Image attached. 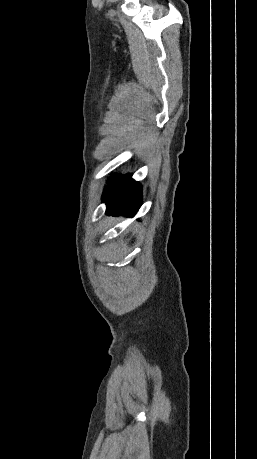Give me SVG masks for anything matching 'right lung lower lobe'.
I'll return each mask as SVG.
<instances>
[{
	"instance_id": "obj_1",
	"label": "right lung lower lobe",
	"mask_w": 257,
	"mask_h": 459,
	"mask_svg": "<svg viewBox=\"0 0 257 459\" xmlns=\"http://www.w3.org/2000/svg\"><path fill=\"white\" fill-rule=\"evenodd\" d=\"M103 202L108 214L134 215L142 203L141 186L131 175L114 176L105 188Z\"/></svg>"
}]
</instances>
